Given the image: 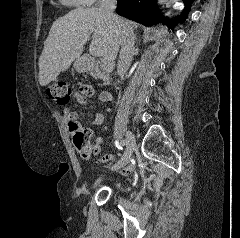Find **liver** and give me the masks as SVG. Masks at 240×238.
I'll return each mask as SVG.
<instances>
[{"label":"liver","mask_w":240,"mask_h":238,"mask_svg":"<svg viewBox=\"0 0 240 238\" xmlns=\"http://www.w3.org/2000/svg\"><path fill=\"white\" fill-rule=\"evenodd\" d=\"M129 26L131 22L124 20ZM120 29L97 8H78L57 19L50 28L39 59V83L57 81L61 72L79 58L92 35L90 50L106 61H114L120 42Z\"/></svg>","instance_id":"obj_1"}]
</instances>
